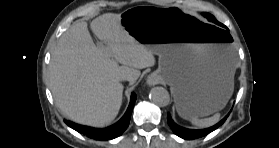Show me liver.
<instances>
[{
  "label": "liver",
  "instance_id": "obj_1",
  "mask_svg": "<svg viewBox=\"0 0 279 148\" xmlns=\"http://www.w3.org/2000/svg\"><path fill=\"white\" fill-rule=\"evenodd\" d=\"M120 20V14L106 13L91 22L98 45L87 23L78 22L52 52L49 87L56 106L74 122L94 127L112 122L122 104L120 77L133 84L139 69L155 65L154 52L130 36Z\"/></svg>",
  "mask_w": 279,
  "mask_h": 148
}]
</instances>
